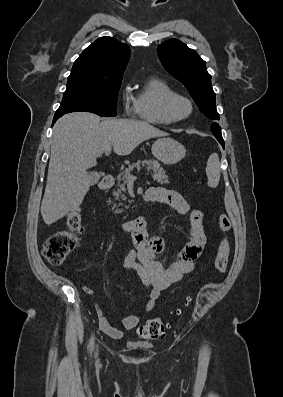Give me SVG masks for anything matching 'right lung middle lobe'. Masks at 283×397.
Listing matches in <instances>:
<instances>
[{"label":"right lung middle lobe","instance_id":"right-lung-middle-lobe-1","mask_svg":"<svg viewBox=\"0 0 283 397\" xmlns=\"http://www.w3.org/2000/svg\"><path fill=\"white\" fill-rule=\"evenodd\" d=\"M122 79L107 80L70 74L67 89L55 114L87 111L103 117L117 115L118 91Z\"/></svg>","mask_w":283,"mask_h":397}]
</instances>
